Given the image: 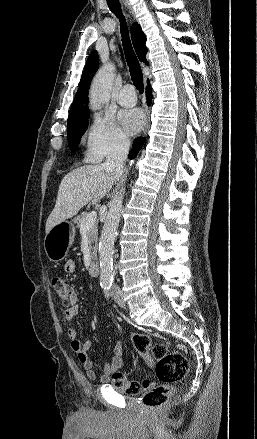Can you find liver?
Here are the masks:
<instances>
[{
    "label": "liver",
    "mask_w": 257,
    "mask_h": 439,
    "mask_svg": "<svg viewBox=\"0 0 257 439\" xmlns=\"http://www.w3.org/2000/svg\"><path fill=\"white\" fill-rule=\"evenodd\" d=\"M118 177L104 164L87 165L69 172L59 186L55 207L46 222V234L56 224L75 216L91 200H101Z\"/></svg>",
    "instance_id": "6515ba94"
}]
</instances>
